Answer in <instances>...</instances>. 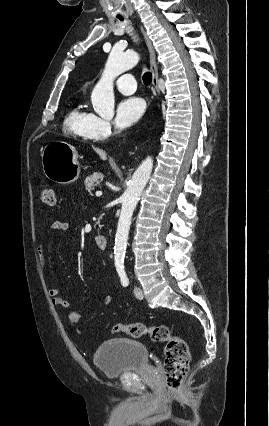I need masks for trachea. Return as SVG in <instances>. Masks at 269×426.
I'll use <instances>...</instances> for the list:
<instances>
[{"label": "trachea", "instance_id": "1", "mask_svg": "<svg viewBox=\"0 0 269 426\" xmlns=\"http://www.w3.org/2000/svg\"><path fill=\"white\" fill-rule=\"evenodd\" d=\"M121 21H123L122 18H120ZM143 82L145 85H150L152 82V73L151 72H145L143 75Z\"/></svg>", "mask_w": 269, "mask_h": 426}]
</instances>
